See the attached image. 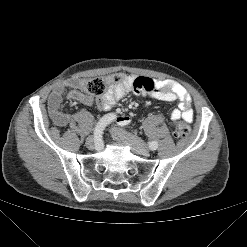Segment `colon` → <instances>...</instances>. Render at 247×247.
<instances>
[{
	"mask_svg": "<svg viewBox=\"0 0 247 247\" xmlns=\"http://www.w3.org/2000/svg\"><path fill=\"white\" fill-rule=\"evenodd\" d=\"M127 79L128 77L122 73H116L109 78H103V77L93 78L83 82V89L88 94L94 96H100L105 93L109 82H112L114 84H124L127 81ZM134 84L136 86L142 85V83L139 80L135 81ZM79 95H80V90L78 89L72 90L69 93V96L74 99H78ZM189 134H190L189 126L183 121L178 122L174 130V136L178 139H185L189 136Z\"/></svg>",
	"mask_w": 247,
	"mask_h": 247,
	"instance_id": "obj_1",
	"label": "colon"
}]
</instances>
